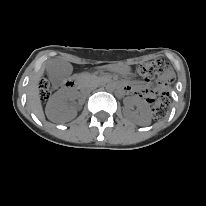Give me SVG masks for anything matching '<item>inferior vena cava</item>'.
<instances>
[{"instance_id": "1", "label": "inferior vena cava", "mask_w": 206, "mask_h": 206, "mask_svg": "<svg viewBox=\"0 0 206 206\" xmlns=\"http://www.w3.org/2000/svg\"><path fill=\"white\" fill-rule=\"evenodd\" d=\"M94 89H96V86H94V87H90V88H88V89H86L85 91H84V93H90L91 91H93Z\"/></svg>"}]
</instances>
